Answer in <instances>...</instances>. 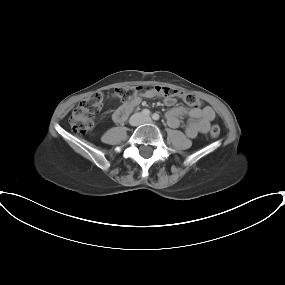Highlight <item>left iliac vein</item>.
<instances>
[{"instance_id":"left-iliac-vein-1","label":"left iliac vein","mask_w":285,"mask_h":285,"mask_svg":"<svg viewBox=\"0 0 285 285\" xmlns=\"http://www.w3.org/2000/svg\"><path fill=\"white\" fill-rule=\"evenodd\" d=\"M143 122L150 123L151 122V118L150 117H144L143 118Z\"/></svg>"}]
</instances>
